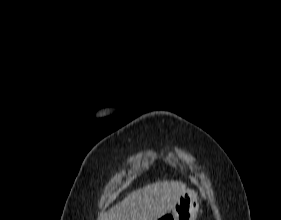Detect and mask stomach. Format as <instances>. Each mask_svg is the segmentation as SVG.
Here are the masks:
<instances>
[{
	"instance_id": "stomach-1",
	"label": "stomach",
	"mask_w": 281,
	"mask_h": 220,
	"mask_svg": "<svg viewBox=\"0 0 281 220\" xmlns=\"http://www.w3.org/2000/svg\"><path fill=\"white\" fill-rule=\"evenodd\" d=\"M199 209L197 193L185 189L172 208V213L164 215L160 220H195Z\"/></svg>"
}]
</instances>
